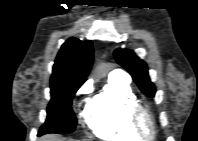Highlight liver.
Instances as JSON below:
<instances>
[{"mask_svg":"<svg viewBox=\"0 0 198 141\" xmlns=\"http://www.w3.org/2000/svg\"><path fill=\"white\" fill-rule=\"evenodd\" d=\"M44 141H62L61 138L57 137V136H53V135H50V136H46L43 138Z\"/></svg>","mask_w":198,"mask_h":141,"instance_id":"6515ba94","label":"liver"}]
</instances>
